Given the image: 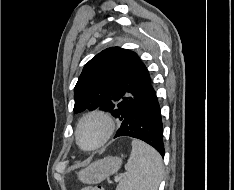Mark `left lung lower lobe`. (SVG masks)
Wrapping results in <instances>:
<instances>
[{
  "label": "left lung lower lobe",
  "instance_id": "1",
  "mask_svg": "<svg viewBox=\"0 0 234 190\" xmlns=\"http://www.w3.org/2000/svg\"><path fill=\"white\" fill-rule=\"evenodd\" d=\"M129 136L145 141L164 157L160 106L151 81L123 119L116 137Z\"/></svg>",
  "mask_w": 234,
  "mask_h": 190
}]
</instances>
